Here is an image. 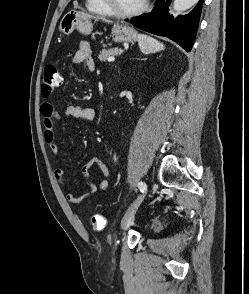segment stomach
<instances>
[{
  "label": "stomach",
  "instance_id": "stomach-1",
  "mask_svg": "<svg viewBox=\"0 0 249 294\" xmlns=\"http://www.w3.org/2000/svg\"><path fill=\"white\" fill-rule=\"evenodd\" d=\"M59 29L64 35H70L74 30L82 34H90L93 30L91 18L78 11H69L61 19ZM115 42H135L138 34L135 29L127 25L116 24L112 29Z\"/></svg>",
  "mask_w": 249,
  "mask_h": 294
}]
</instances>
